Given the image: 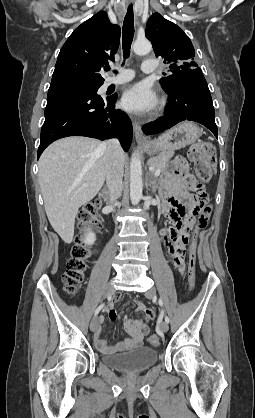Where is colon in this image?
<instances>
[{
    "instance_id": "colon-1",
    "label": "colon",
    "mask_w": 255,
    "mask_h": 418,
    "mask_svg": "<svg viewBox=\"0 0 255 418\" xmlns=\"http://www.w3.org/2000/svg\"><path fill=\"white\" fill-rule=\"evenodd\" d=\"M189 159L194 165L195 173L202 183H208L213 175L215 169V150L214 147L205 142L194 144L189 151ZM203 206L197 219L193 220L190 217L185 219L176 228H202L206 225L207 220L211 214L212 206L210 200L206 195L200 198ZM101 200L96 199L87 203L81 210L79 221L84 231L95 229L100 221L98 210L101 207ZM81 235L77 239V243L72 250V255L67 263V269L63 275V282L67 293L74 295L79 291V288L85 278V271L87 268V260L91 255V251L85 246ZM197 235L192 234L188 242V255L186 266V274L188 275L190 287H194L195 283V265L196 255L198 250ZM152 346L160 344L158 335L153 334L148 338Z\"/></svg>"
}]
</instances>
